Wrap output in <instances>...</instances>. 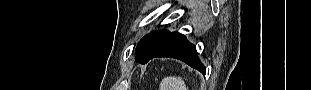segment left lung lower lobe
Segmentation results:
<instances>
[{"label": "left lung lower lobe", "mask_w": 311, "mask_h": 90, "mask_svg": "<svg viewBox=\"0 0 311 90\" xmlns=\"http://www.w3.org/2000/svg\"><path fill=\"white\" fill-rule=\"evenodd\" d=\"M153 57L176 58L203 74L206 72V68L198 59L195 46L189 43L183 34L178 32L169 33L142 64L147 63Z\"/></svg>", "instance_id": "left-lung-lower-lobe-1"}]
</instances>
